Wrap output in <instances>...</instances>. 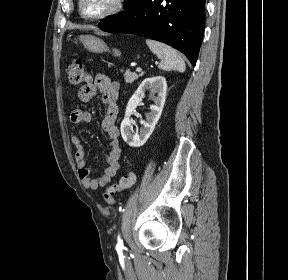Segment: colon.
<instances>
[{
  "mask_svg": "<svg viewBox=\"0 0 288 280\" xmlns=\"http://www.w3.org/2000/svg\"><path fill=\"white\" fill-rule=\"evenodd\" d=\"M68 77L73 84L89 83L90 76L83 64V62L74 57L67 68ZM136 181V175L134 172L130 171L125 174L118 183H114L107 187L104 192V200L108 205H113L115 203V195L125 189H129L133 186Z\"/></svg>",
  "mask_w": 288,
  "mask_h": 280,
  "instance_id": "obj_1",
  "label": "colon"
}]
</instances>
